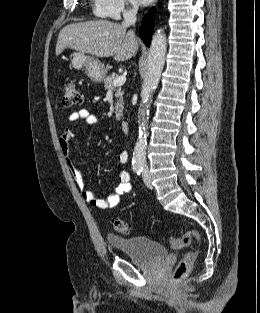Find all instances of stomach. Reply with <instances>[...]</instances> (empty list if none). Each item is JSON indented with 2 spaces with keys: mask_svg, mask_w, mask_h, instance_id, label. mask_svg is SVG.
Segmentation results:
<instances>
[{
  "mask_svg": "<svg viewBox=\"0 0 260 313\" xmlns=\"http://www.w3.org/2000/svg\"><path fill=\"white\" fill-rule=\"evenodd\" d=\"M69 61L70 66L77 70L84 68L92 81L99 83L104 80L107 70L98 59L83 52H75L70 55Z\"/></svg>",
  "mask_w": 260,
  "mask_h": 313,
  "instance_id": "stomach-1",
  "label": "stomach"
}]
</instances>
